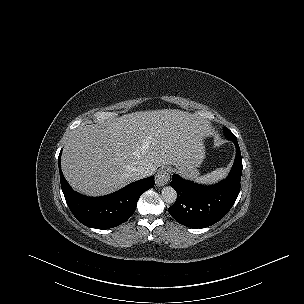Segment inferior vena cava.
Returning <instances> with one entry per match:
<instances>
[{
	"label": "inferior vena cava",
	"mask_w": 304,
	"mask_h": 304,
	"mask_svg": "<svg viewBox=\"0 0 304 304\" xmlns=\"http://www.w3.org/2000/svg\"><path fill=\"white\" fill-rule=\"evenodd\" d=\"M154 173H155V171L149 170L148 168H146L144 166H139L134 169V176L137 180L145 178V177H149V176L153 175Z\"/></svg>",
	"instance_id": "inferior-vena-cava-1"
}]
</instances>
